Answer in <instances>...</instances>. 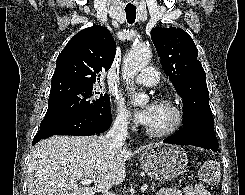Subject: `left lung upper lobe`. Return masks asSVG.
<instances>
[{
    "mask_svg": "<svg viewBox=\"0 0 245 195\" xmlns=\"http://www.w3.org/2000/svg\"><path fill=\"white\" fill-rule=\"evenodd\" d=\"M151 39L165 74L183 99L184 122L214 125L206 74L190 35L176 27H156L151 30Z\"/></svg>",
    "mask_w": 245,
    "mask_h": 195,
    "instance_id": "5c2ea615",
    "label": "left lung upper lobe"
}]
</instances>
